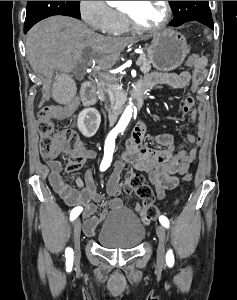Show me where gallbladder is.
Wrapping results in <instances>:
<instances>
[{
  "instance_id": "obj_1",
  "label": "gallbladder",
  "mask_w": 237,
  "mask_h": 300,
  "mask_svg": "<svg viewBox=\"0 0 237 300\" xmlns=\"http://www.w3.org/2000/svg\"><path fill=\"white\" fill-rule=\"evenodd\" d=\"M55 80V87L52 90L54 101H56L57 105H70L76 93L73 77L68 76L67 72H60Z\"/></svg>"
}]
</instances>
